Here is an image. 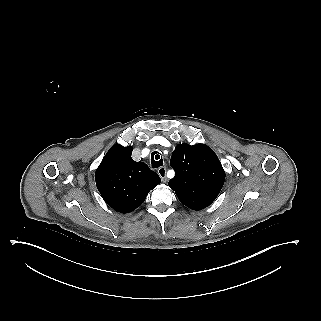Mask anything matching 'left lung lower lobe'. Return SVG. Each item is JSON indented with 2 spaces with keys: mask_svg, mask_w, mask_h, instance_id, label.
Instances as JSON below:
<instances>
[{
  "mask_svg": "<svg viewBox=\"0 0 321 321\" xmlns=\"http://www.w3.org/2000/svg\"><path fill=\"white\" fill-rule=\"evenodd\" d=\"M216 197L217 195L186 196L179 198V200L190 209L202 210L209 206Z\"/></svg>",
  "mask_w": 321,
  "mask_h": 321,
  "instance_id": "1",
  "label": "left lung lower lobe"
}]
</instances>
